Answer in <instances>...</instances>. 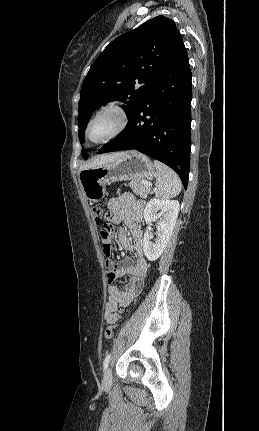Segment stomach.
Here are the masks:
<instances>
[{
    "label": "stomach",
    "instance_id": "1",
    "mask_svg": "<svg viewBox=\"0 0 259 431\" xmlns=\"http://www.w3.org/2000/svg\"><path fill=\"white\" fill-rule=\"evenodd\" d=\"M155 168L149 157L137 151H126L114 161L79 172V182L85 197L100 201L106 194V185L117 181L152 180Z\"/></svg>",
    "mask_w": 259,
    "mask_h": 431
}]
</instances>
